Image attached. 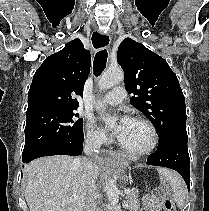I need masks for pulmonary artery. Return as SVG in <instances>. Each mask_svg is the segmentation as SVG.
Listing matches in <instances>:
<instances>
[{"label": "pulmonary artery", "instance_id": "e3ab8cb5", "mask_svg": "<svg viewBox=\"0 0 209 211\" xmlns=\"http://www.w3.org/2000/svg\"><path fill=\"white\" fill-rule=\"evenodd\" d=\"M126 96V91L123 87L118 86L108 92L103 98L102 102L108 105H118L122 103Z\"/></svg>", "mask_w": 209, "mask_h": 211}]
</instances>
